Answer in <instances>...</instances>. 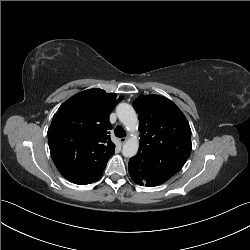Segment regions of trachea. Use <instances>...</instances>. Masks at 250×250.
<instances>
[{"label": "trachea", "mask_w": 250, "mask_h": 250, "mask_svg": "<svg viewBox=\"0 0 250 250\" xmlns=\"http://www.w3.org/2000/svg\"><path fill=\"white\" fill-rule=\"evenodd\" d=\"M115 135L117 137H125L126 136V131L121 126H117L115 128Z\"/></svg>", "instance_id": "1"}]
</instances>
